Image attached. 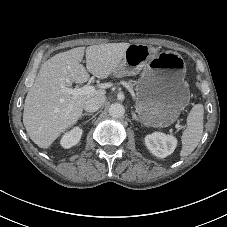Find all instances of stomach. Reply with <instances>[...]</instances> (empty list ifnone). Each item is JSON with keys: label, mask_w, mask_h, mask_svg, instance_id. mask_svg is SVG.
<instances>
[{"label": "stomach", "mask_w": 227, "mask_h": 227, "mask_svg": "<svg viewBox=\"0 0 227 227\" xmlns=\"http://www.w3.org/2000/svg\"><path fill=\"white\" fill-rule=\"evenodd\" d=\"M140 71L135 87L140 121L148 127L171 125L190 101L183 58L176 52L158 53L148 45L130 44L113 75L133 76Z\"/></svg>", "instance_id": "obj_1"}]
</instances>
